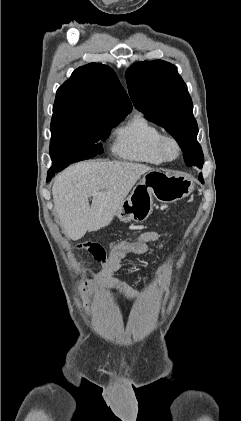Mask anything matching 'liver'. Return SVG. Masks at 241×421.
<instances>
[{
	"mask_svg": "<svg viewBox=\"0 0 241 421\" xmlns=\"http://www.w3.org/2000/svg\"><path fill=\"white\" fill-rule=\"evenodd\" d=\"M151 167L100 160L74 164L56 176L54 206L63 232L71 240L108 226L135 183ZM89 197H93L91 206Z\"/></svg>",
	"mask_w": 241,
	"mask_h": 421,
	"instance_id": "6515ba94",
	"label": "liver"
}]
</instances>
